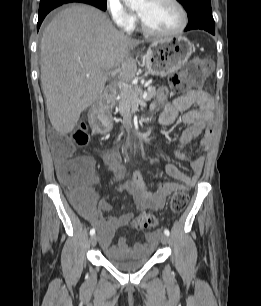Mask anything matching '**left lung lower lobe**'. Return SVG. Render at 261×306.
Returning a JSON list of instances; mask_svg holds the SVG:
<instances>
[{"instance_id": "obj_1", "label": "left lung lower lobe", "mask_w": 261, "mask_h": 306, "mask_svg": "<svg viewBox=\"0 0 261 306\" xmlns=\"http://www.w3.org/2000/svg\"><path fill=\"white\" fill-rule=\"evenodd\" d=\"M193 29H202L208 31L212 35H215V23H209L206 21H192L189 22V24L185 28V31Z\"/></svg>"}]
</instances>
